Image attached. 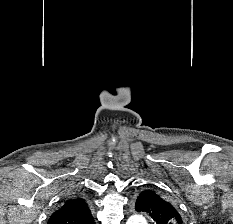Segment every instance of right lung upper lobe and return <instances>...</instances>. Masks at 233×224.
<instances>
[{
	"mask_svg": "<svg viewBox=\"0 0 233 224\" xmlns=\"http://www.w3.org/2000/svg\"><path fill=\"white\" fill-rule=\"evenodd\" d=\"M47 224H95L86 202L81 198L67 200L49 218Z\"/></svg>",
	"mask_w": 233,
	"mask_h": 224,
	"instance_id": "cb5924a9",
	"label": "right lung upper lobe"
}]
</instances>
